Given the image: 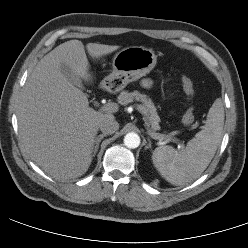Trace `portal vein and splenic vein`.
<instances>
[{"mask_svg": "<svg viewBox=\"0 0 248 248\" xmlns=\"http://www.w3.org/2000/svg\"><path fill=\"white\" fill-rule=\"evenodd\" d=\"M135 108L141 113V114H145V110L143 108L142 105H136ZM103 110L107 111V112H117L118 111V105L116 103H107L103 106ZM150 137L156 140H161L163 139V137H160L159 135L155 134V133H149ZM168 140L176 142V139L171 138L170 136H168Z\"/></svg>", "mask_w": 248, "mask_h": 248, "instance_id": "1", "label": "portal vein and splenic vein"}]
</instances>
